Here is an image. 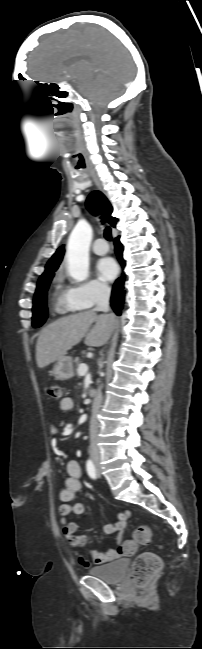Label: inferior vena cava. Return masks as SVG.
<instances>
[{"instance_id":"1","label":"inferior vena cava","mask_w":202,"mask_h":649,"mask_svg":"<svg viewBox=\"0 0 202 649\" xmlns=\"http://www.w3.org/2000/svg\"><path fill=\"white\" fill-rule=\"evenodd\" d=\"M111 289L108 285H98L96 288V311H109V298H110ZM102 401L101 393H98L94 399L93 404V420L90 427L91 443L89 448V453L91 456L99 455L98 447V423L96 419V413L100 407Z\"/></svg>"}]
</instances>
